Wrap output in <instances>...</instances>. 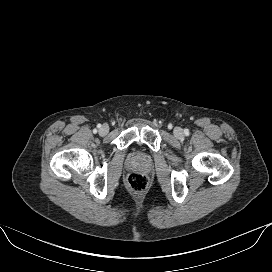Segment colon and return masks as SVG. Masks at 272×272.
I'll list each match as a JSON object with an SVG mask.
<instances>
[{
    "mask_svg": "<svg viewBox=\"0 0 272 272\" xmlns=\"http://www.w3.org/2000/svg\"><path fill=\"white\" fill-rule=\"evenodd\" d=\"M126 184L129 190L132 192L141 193L146 190L148 186V179L143 174L131 173L126 178Z\"/></svg>",
    "mask_w": 272,
    "mask_h": 272,
    "instance_id": "1",
    "label": "colon"
}]
</instances>
